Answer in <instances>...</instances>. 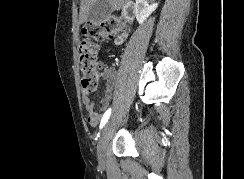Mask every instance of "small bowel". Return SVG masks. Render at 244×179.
I'll return each mask as SVG.
<instances>
[{
    "instance_id": "obj_1",
    "label": "small bowel",
    "mask_w": 244,
    "mask_h": 179,
    "mask_svg": "<svg viewBox=\"0 0 244 179\" xmlns=\"http://www.w3.org/2000/svg\"><path fill=\"white\" fill-rule=\"evenodd\" d=\"M122 37H118L115 39L116 44H120L122 42ZM116 78L117 71L115 68L108 67L105 69L103 73V79L105 81V94L102 100L100 101L99 109H96L94 103L91 100L90 94L86 91L82 93V101L85 105V108L88 112V123L91 126H96L101 120L103 111L109 106L113 96L114 90L116 87Z\"/></svg>"
}]
</instances>
